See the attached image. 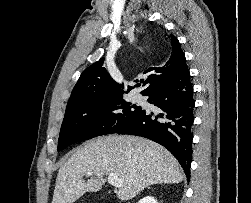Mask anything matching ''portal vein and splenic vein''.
Wrapping results in <instances>:
<instances>
[{"instance_id":"portal-vein-and-splenic-vein-1","label":"portal vein and splenic vein","mask_w":251,"mask_h":203,"mask_svg":"<svg viewBox=\"0 0 251 203\" xmlns=\"http://www.w3.org/2000/svg\"><path fill=\"white\" fill-rule=\"evenodd\" d=\"M87 176H92V173L91 172H88L87 173ZM108 182L115 186V187H120L123 185L124 181L122 179H119L118 175L115 174V173H110L109 176H108Z\"/></svg>"}]
</instances>
